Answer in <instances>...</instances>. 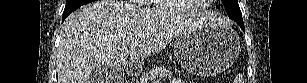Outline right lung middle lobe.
<instances>
[{
    "instance_id": "dd1d6c3e",
    "label": "right lung middle lobe",
    "mask_w": 307,
    "mask_h": 83,
    "mask_svg": "<svg viewBox=\"0 0 307 83\" xmlns=\"http://www.w3.org/2000/svg\"><path fill=\"white\" fill-rule=\"evenodd\" d=\"M77 2L90 3V2H92V0H67L65 8L68 7L69 5H71L73 3H77Z\"/></svg>"
}]
</instances>
